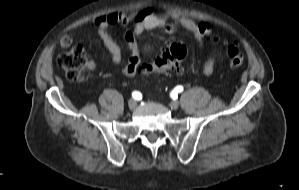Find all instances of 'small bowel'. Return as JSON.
<instances>
[{
  "label": "small bowel",
  "mask_w": 299,
  "mask_h": 190,
  "mask_svg": "<svg viewBox=\"0 0 299 190\" xmlns=\"http://www.w3.org/2000/svg\"><path fill=\"white\" fill-rule=\"evenodd\" d=\"M93 24L97 28L98 35L105 47L108 49L115 64L119 65L122 62V52L118 44L108 32V28L117 24L132 25V30L125 32L124 38L131 51V55L125 62L122 72L126 76H133L136 74L139 61L140 51L136 43V36L149 29L161 30L172 33L177 27L181 26L188 30L202 45L205 39L212 34L211 27L205 22H197L191 17L183 15L178 11H169L161 15L155 14L150 9H143L133 12L114 11L105 15H98L93 18ZM73 44L71 36H64L60 41V46L68 48ZM216 53L213 52L203 65L202 71L206 76L214 72L216 65ZM89 70L95 68V63L89 61L87 63Z\"/></svg>",
  "instance_id": "1"
}]
</instances>
